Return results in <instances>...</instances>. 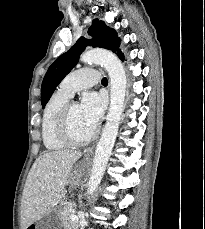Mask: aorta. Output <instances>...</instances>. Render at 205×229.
Returning a JSON list of instances; mask_svg holds the SVG:
<instances>
[{
	"label": "aorta",
	"instance_id": "aorta-1",
	"mask_svg": "<svg viewBox=\"0 0 205 229\" xmlns=\"http://www.w3.org/2000/svg\"><path fill=\"white\" fill-rule=\"evenodd\" d=\"M80 60L83 63L102 65L110 77V106L101 138L97 144L87 194L91 195L99 186L118 133L126 95V74L121 61L105 49H91L84 52Z\"/></svg>",
	"mask_w": 205,
	"mask_h": 229
}]
</instances>
